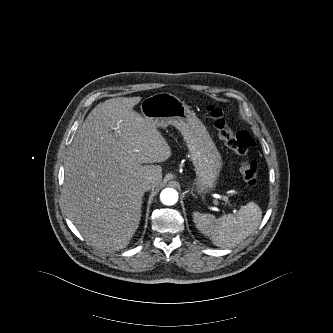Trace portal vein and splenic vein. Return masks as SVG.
<instances>
[{"mask_svg":"<svg viewBox=\"0 0 333 333\" xmlns=\"http://www.w3.org/2000/svg\"><path fill=\"white\" fill-rule=\"evenodd\" d=\"M213 197L217 198V199H221L224 200L225 202H228V198L224 195H220V194H213Z\"/></svg>","mask_w":333,"mask_h":333,"instance_id":"1","label":"portal vein and splenic vein"}]
</instances>
